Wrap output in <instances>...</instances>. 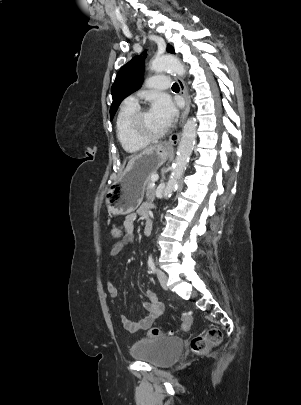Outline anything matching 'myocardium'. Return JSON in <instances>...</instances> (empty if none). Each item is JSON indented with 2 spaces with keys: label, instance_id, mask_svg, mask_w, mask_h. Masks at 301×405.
Returning <instances> with one entry per match:
<instances>
[{
  "label": "myocardium",
  "instance_id": "obj_1",
  "mask_svg": "<svg viewBox=\"0 0 301 405\" xmlns=\"http://www.w3.org/2000/svg\"><path fill=\"white\" fill-rule=\"evenodd\" d=\"M148 111L146 108L137 109L130 120V132L138 140L145 143H151L160 140L166 136L169 132V127H166L163 131L157 134H148L142 129V118Z\"/></svg>",
  "mask_w": 301,
  "mask_h": 405
}]
</instances>
